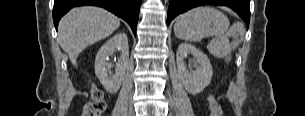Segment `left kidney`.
Here are the masks:
<instances>
[{
    "mask_svg": "<svg viewBox=\"0 0 305 116\" xmlns=\"http://www.w3.org/2000/svg\"><path fill=\"white\" fill-rule=\"evenodd\" d=\"M188 54H192L198 64L195 71L186 68L184 59ZM176 63L180 80L188 93L196 95L210 84L213 75L210 60L195 46L188 43L180 44L176 53Z\"/></svg>",
    "mask_w": 305,
    "mask_h": 116,
    "instance_id": "5707ae66",
    "label": "left kidney"
}]
</instances>
